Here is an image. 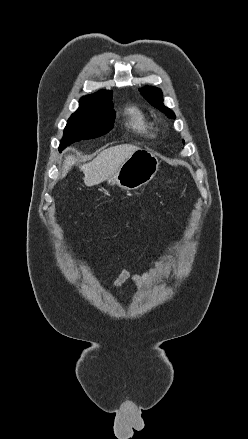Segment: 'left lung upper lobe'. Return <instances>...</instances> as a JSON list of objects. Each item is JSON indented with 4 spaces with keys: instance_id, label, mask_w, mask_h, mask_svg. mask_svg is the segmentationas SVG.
Listing matches in <instances>:
<instances>
[{
    "instance_id": "1",
    "label": "left lung upper lobe",
    "mask_w": 248,
    "mask_h": 439,
    "mask_svg": "<svg viewBox=\"0 0 248 439\" xmlns=\"http://www.w3.org/2000/svg\"><path fill=\"white\" fill-rule=\"evenodd\" d=\"M141 94L150 104L164 112L169 118H175V114L163 105L162 92L156 87H145L140 89Z\"/></svg>"
}]
</instances>
